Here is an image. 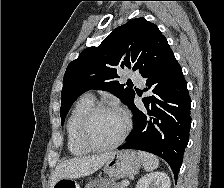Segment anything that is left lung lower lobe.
<instances>
[{
  "label": "left lung lower lobe",
  "mask_w": 224,
  "mask_h": 188,
  "mask_svg": "<svg viewBox=\"0 0 224 188\" xmlns=\"http://www.w3.org/2000/svg\"><path fill=\"white\" fill-rule=\"evenodd\" d=\"M144 78V90L152 91L153 95L143 99L146 110L131 102L134 128L118 149H137L163 158L177 179L191 124L187 83L174 55Z\"/></svg>",
  "instance_id": "0a47b994"
}]
</instances>
